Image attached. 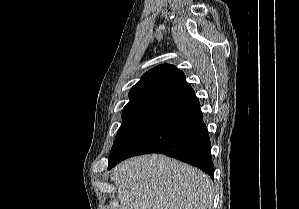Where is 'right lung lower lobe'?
<instances>
[{
    "label": "right lung lower lobe",
    "instance_id": "1",
    "mask_svg": "<svg viewBox=\"0 0 299 209\" xmlns=\"http://www.w3.org/2000/svg\"><path fill=\"white\" fill-rule=\"evenodd\" d=\"M211 143L200 104L190 85L159 104L120 152L108 161L110 170L122 160L142 154L163 153L214 175Z\"/></svg>",
    "mask_w": 299,
    "mask_h": 209
}]
</instances>
